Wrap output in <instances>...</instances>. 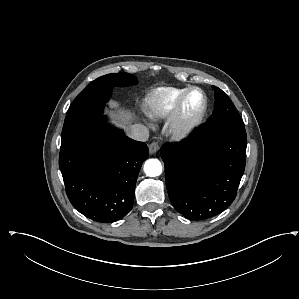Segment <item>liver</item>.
Returning a JSON list of instances; mask_svg holds the SVG:
<instances>
[{
  "label": "liver",
  "instance_id": "1",
  "mask_svg": "<svg viewBox=\"0 0 299 299\" xmlns=\"http://www.w3.org/2000/svg\"><path fill=\"white\" fill-rule=\"evenodd\" d=\"M112 106L117 107L118 103L114 101L112 102ZM112 113L118 114L121 121L120 125L128 124L133 119V114L130 111L124 109H116L115 111H112Z\"/></svg>",
  "mask_w": 299,
  "mask_h": 299
}]
</instances>
